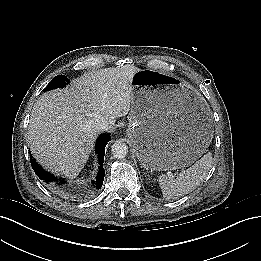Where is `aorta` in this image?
<instances>
[{
    "instance_id": "aorta-1",
    "label": "aorta",
    "mask_w": 261,
    "mask_h": 261,
    "mask_svg": "<svg viewBox=\"0 0 261 261\" xmlns=\"http://www.w3.org/2000/svg\"><path fill=\"white\" fill-rule=\"evenodd\" d=\"M111 151L115 158L122 159L128 153V146L125 142L118 140L111 146Z\"/></svg>"
}]
</instances>
